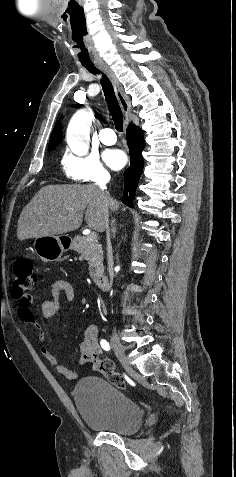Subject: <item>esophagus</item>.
Instances as JSON below:
<instances>
[{
    "instance_id": "esophagus-1",
    "label": "esophagus",
    "mask_w": 236,
    "mask_h": 477,
    "mask_svg": "<svg viewBox=\"0 0 236 477\" xmlns=\"http://www.w3.org/2000/svg\"><path fill=\"white\" fill-rule=\"evenodd\" d=\"M98 66L101 70H103L108 75V77L112 81L116 96L118 98V101L120 103V106H121L122 111H123L124 116H125V122L128 124L129 121H130L129 114H130V111H131V106H130V103H129L127 97L125 96V94L123 92V89H122V86H121L120 82L118 81L117 77L115 76V74L112 72V70L108 66H106L104 64H99Z\"/></svg>"
}]
</instances>
